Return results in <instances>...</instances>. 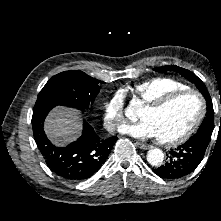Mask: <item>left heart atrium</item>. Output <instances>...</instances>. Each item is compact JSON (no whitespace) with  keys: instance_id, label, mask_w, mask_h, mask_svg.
<instances>
[{"instance_id":"left-heart-atrium-1","label":"left heart atrium","mask_w":221,"mask_h":221,"mask_svg":"<svg viewBox=\"0 0 221 221\" xmlns=\"http://www.w3.org/2000/svg\"><path fill=\"white\" fill-rule=\"evenodd\" d=\"M120 132L136 139H148L157 137L156 131L152 124L147 120L124 125L120 128Z\"/></svg>"}]
</instances>
